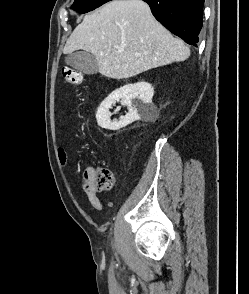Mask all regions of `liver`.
<instances>
[{
    "mask_svg": "<svg viewBox=\"0 0 249 294\" xmlns=\"http://www.w3.org/2000/svg\"><path fill=\"white\" fill-rule=\"evenodd\" d=\"M78 50L93 54L100 74L112 79L133 77L190 55L184 42L158 23L142 0H113L86 15L63 53Z\"/></svg>",
    "mask_w": 249,
    "mask_h": 294,
    "instance_id": "liver-1",
    "label": "liver"
}]
</instances>
